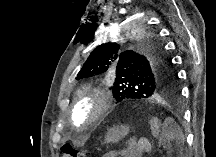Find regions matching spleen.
I'll return each mask as SVG.
<instances>
[{"label": "spleen", "mask_w": 216, "mask_h": 157, "mask_svg": "<svg viewBox=\"0 0 216 157\" xmlns=\"http://www.w3.org/2000/svg\"><path fill=\"white\" fill-rule=\"evenodd\" d=\"M160 142L166 146L169 152L174 151L176 148L183 149L185 138L181 128L174 122V119L169 117L164 121Z\"/></svg>", "instance_id": "spleen-1"}]
</instances>
